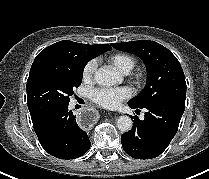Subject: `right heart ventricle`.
Returning <instances> with one entry per match:
<instances>
[{
  "label": "right heart ventricle",
  "instance_id": "obj_1",
  "mask_svg": "<svg viewBox=\"0 0 209 179\" xmlns=\"http://www.w3.org/2000/svg\"><path fill=\"white\" fill-rule=\"evenodd\" d=\"M107 60L121 73H129L135 65V59L126 53L112 54Z\"/></svg>",
  "mask_w": 209,
  "mask_h": 179
}]
</instances>
